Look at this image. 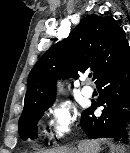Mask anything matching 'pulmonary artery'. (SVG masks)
<instances>
[{
	"label": "pulmonary artery",
	"mask_w": 130,
	"mask_h": 153,
	"mask_svg": "<svg viewBox=\"0 0 130 153\" xmlns=\"http://www.w3.org/2000/svg\"><path fill=\"white\" fill-rule=\"evenodd\" d=\"M93 89L90 87V86H84L82 88V94L85 96V97H91L93 95Z\"/></svg>",
	"instance_id": "pulmonary-artery-1"
}]
</instances>
